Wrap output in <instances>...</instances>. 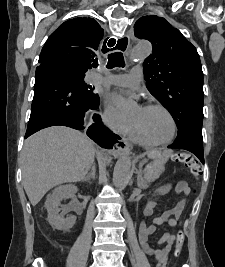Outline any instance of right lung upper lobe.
<instances>
[{"instance_id": "1", "label": "right lung upper lobe", "mask_w": 225, "mask_h": 267, "mask_svg": "<svg viewBox=\"0 0 225 267\" xmlns=\"http://www.w3.org/2000/svg\"><path fill=\"white\" fill-rule=\"evenodd\" d=\"M102 38L103 29L96 20H68L49 36L38 62L55 64L85 76L88 69L98 65L97 56Z\"/></svg>"}]
</instances>
